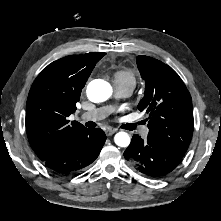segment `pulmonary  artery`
Listing matches in <instances>:
<instances>
[{
	"label": "pulmonary artery",
	"mask_w": 221,
	"mask_h": 221,
	"mask_svg": "<svg viewBox=\"0 0 221 221\" xmlns=\"http://www.w3.org/2000/svg\"><path fill=\"white\" fill-rule=\"evenodd\" d=\"M133 87L129 85H115V94L117 97H128L133 92ZM113 111L112 106H105L85 112L81 115L83 121L96 122L104 119Z\"/></svg>",
	"instance_id": "pulmonary-artery-1"
}]
</instances>
